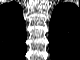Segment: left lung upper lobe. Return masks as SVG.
I'll return each instance as SVG.
<instances>
[{
  "label": "left lung upper lobe",
  "instance_id": "obj_1",
  "mask_svg": "<svg viewBox=\"0 0 80 60\" xmlns=\"http://www.w3.org/2000/svg\"><path fill=\"white\" fill-rule=\"evenodd\" d=\"M76 9L74 4L61 3L52 13L49 27V49L59 59L65 58L69 46L72 48L75 44L78 47L80 44V36L74 31L76 30L74 27Z\"/></svg>",
  "mask_w": 80,
  "mask_h": 60
}]
</instances>
